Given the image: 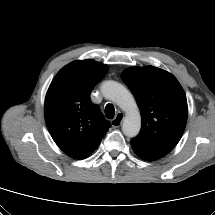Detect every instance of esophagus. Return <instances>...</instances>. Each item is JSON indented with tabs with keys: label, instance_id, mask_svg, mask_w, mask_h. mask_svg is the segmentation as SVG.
Segmentation results:
<instances>
[{
	"label": "esophagus",
	"instance_id": "obj_1",
	"mask_svg": "<svg viewBox=\"0 0 215 215\" xmlns=\"http://www.w3.org/2000/svg\"><path fill=\"white\" fill-rule=\"evenodd\" d=\"M123 119H124V115L121 112H119V113H117L115 118L113 120H111V125L113 127H119L122 124Z\"/></svg>",
	"mask_w": 215,
	"mask_h": 215
}]
</instances>
